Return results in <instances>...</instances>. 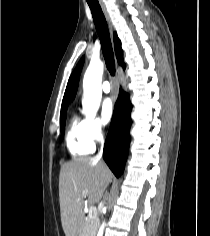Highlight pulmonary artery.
<instances>
[{
	"label": "pulmonary artery",
	"instance_id": "e3ab8cb5",
	"mask_svg": "<svg viewBox=\"0 0 210 236\" xmlns=\"http://www.w3.org/2000/svg\"><path fill=\"white\" fill-rule=\"evenodd\" d=\"M102 91L104 93H109L111 91V86H110L109 82L106 81L102 84Z\"/></svg>",
	"mask_w": 210,
	"mask_h": 236
}]
</instances>
